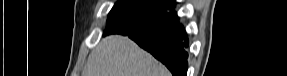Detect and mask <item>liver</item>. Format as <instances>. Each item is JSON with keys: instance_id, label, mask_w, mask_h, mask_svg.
Returning a JSON list of instances; mask_svg holds the SVG:
<instances>
[{"instance_id": "liver-1", "label": "liver", "mask_w": 287, "mask_h": 76, "mask_svg": "<svg viewBox=\"0 0 287 76\" xmlns=\"http://www.w3.org/2000/svg\"><path fill=\"white\" fill-rule=\"evenodd\" d=\"M85 76H170V73L128 37L111 35L89 55Z\"/></svg>"}]
</instances>
